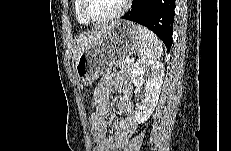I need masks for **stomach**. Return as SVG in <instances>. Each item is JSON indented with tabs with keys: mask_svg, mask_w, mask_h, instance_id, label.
Here are the masks:
<instances>
[{
	"mask_svg": "<svg viewBox=\"0 0 231 151\" xmlns=\"http://www.w3.org/2000/svg\"><path fill=\"white\" fill-rule=\"evenodd\" d=\"M140 48L137 26L130 21H116L100 42L79 54L75 71L84 85H91L120 58L134 54Z\"/></svg>",
	"mask_w": 231,
	"mask_h": 151,
	"instance_id": "0dacf381",
	"label": "stomach"
}]
</instances>
